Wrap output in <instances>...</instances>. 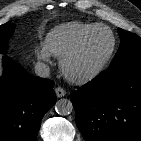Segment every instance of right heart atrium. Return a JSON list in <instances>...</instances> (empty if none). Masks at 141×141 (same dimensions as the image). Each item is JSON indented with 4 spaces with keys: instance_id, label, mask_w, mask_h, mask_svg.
Returning a JSON list of instances; mask_svg holds the SVG:
<instances>
[{
    "instance_id": "1",
    "label": "right heart atrium",
    "mask_w": 141,
    "mask_h": 141,
    "mask_svg": "<svg viewBox=\"0 0 141 141\" xmlns=\"http://www.w3.org/2000/svg\"><path fill=\"white\" fill-rule=\"evenodd\" d=\"M35 56L37 60L40 62H44V63L51 62V54L44 47L38 48L35 52Z\"/></svg>"
}]
</instances>
